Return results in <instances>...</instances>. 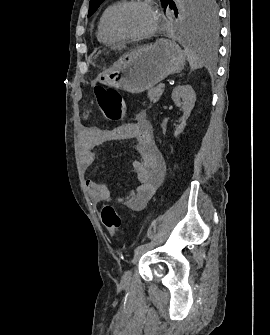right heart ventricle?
Instances as JSON below:
<instances>
[{"label": "right heart ventricle", "instance_id": "obj_1", "mask_svg": "<svg viewBox=\"0 0 270 335\" xmlns=\"http://www.w3.org/2000/svg\"><path fill=\"white\" fill-rule=\"evenodd\" d=\"M122 2L123 0H114L104 8L100 15L96 36L97 39L103 44L109 45L122 40V38L116 36L111 32L108 25V20L111 12Z\"/></svg>", "mask_w": 270, "mask_h": 335}]
</instances>
